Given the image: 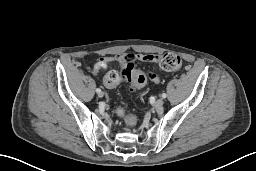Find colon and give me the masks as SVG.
I'll return each mask as SVG.
<instances>
[{"instance_id":"colon-1","label":"colon","mask_w":256,"mask_h":171,"mask_svg":"<svg viewBox=\"0 0 256 171\" xmlns=\"http://www.w3.org/2000/svg\"><path fill=\"white\" fill-rule=\"evenodd\" d=\"M159 64L163 70H177L181 66V58L174 53H165L159 57ZM99 68L105 69V66L102 64ZM106 76L108 83L114 86L125 82L131 83V90L143 87L147 82L146 74L142 70L136 69L132 64L122 66L120 71H110ZM116 115L122 118L128 126H132L136 121V118L128 113L123 106L117 108Z\"/></svg>"}]
</instances>
